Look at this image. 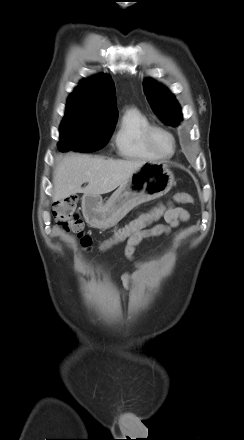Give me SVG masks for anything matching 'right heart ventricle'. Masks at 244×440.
Returning a JSON list of instances; mask_svg holds the SVG:
<instances>
[{"label":"right heart ventricle","instance_id":"e07e8e85","mask_svg":"<svg viewBox=\"0 0 244 440\" xmlns=\"http://www.w3.org/2000/svg\"><path fill=\"white\" fill-rule=\"evenodd\" d=\"M151 124L147 117L135 108L123 112L118 122L113 143L117 153L131 159H157L143 142V132Z\"/></svg>","mask_w":244,"mask_h":440}]
</instances>
